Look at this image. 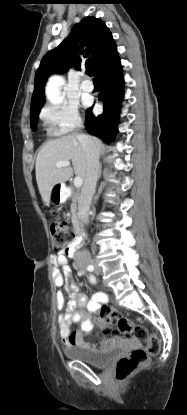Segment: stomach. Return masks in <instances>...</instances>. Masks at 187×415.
Returning a JSON list of instances; mask_svg holds the SVG:
<instances>
[{
  "label": "stomach",
  "instance_id": "0dacf381",
  "mask_svg": "<svg viewBox=\"0 0 187 415\" xmlns=\"http://www.w3.org/2000/svg\"><path fill=\"white\" fill-rule=\"evenodd\" d=\"M65 193V186L64 184H57L51 190L50 199L53 203L58 204L62 203V198Z\"/></svg>",
  "mask_w": 187,
  "mask_h": 415
}]
</instances>
